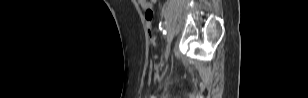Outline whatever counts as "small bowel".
<instances>
[{
    "instance_id": "small-bowel-1",
    "label": "small bowel",
    "mask_w": 308,
    "mask_h": 98,
    "mask_svg": "<svg viewBox=\"0 0 308 98\" xmlns=\"http://www.w3.org/2000/svg\"><path fill=\"white\" fill-rule=\"evenodd\" d=\"M155 0H151V1H147V0H138V4L139 6L144 9H153L154 5H155Z\"/></svg>"
}]
</instances>
